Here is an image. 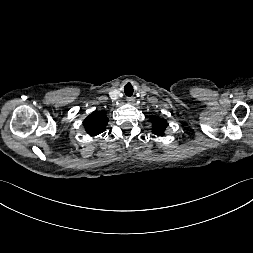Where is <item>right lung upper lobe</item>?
Listing matches in <instances>:
<instances>
[{
  "instance_id": "1",
  "label": "right lung upper lobe",
  "mask_w": 253,
  "mask_h": 253,
  "mask_svg": "<svg viewBox=\"0 0 253 253\" xmlns=\"http://www.w3.org/2000/svg\"><path fill=\"white\" fill-rule=\"evenodd\" d=\"M107 124L108 118L104 111L93 112L83 122L86 132L91 136L104 132Z\"/></svg>"
}]
</instances>
